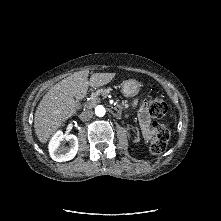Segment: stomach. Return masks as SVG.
I'll use <instances>...</instances> for the list:
<instances>
[{"mask_svg": "<svg viewBox=\"0 0 221 221\" xmlns=\"http://www.w3.org/2000/svg\"><path fill=\"white\" fill-rule=\"evenodd\" d=\"M140 87L141 84L138 81L129 79L123 82L122 92L126 97H134L139 93Z\"/></svg>", "mask_w": 221, "mask_h": 221, "instance_id": "obj_1", "label": "stomach"}]
</instances>
